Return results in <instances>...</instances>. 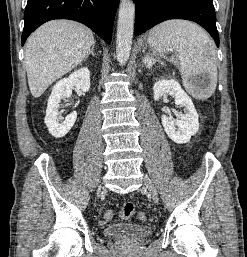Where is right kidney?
<instances>
[{
    "label": "right kidney",
    "mask_w": 247,
    "mask_h": 257,
    "mask_svg": "<svg viewBox=\"0 0 247 257\" xmlns=\"http://www.w3.org/2000/svg\"><path fill=\"white\" fill-rule=\"evenodd\" d=\"M81 89L83 92H87L90 89V71L88 68L83 67L67 78H63L58 81L48 99V105L46 109L45 124L52 136L55 138L64 137L70 129L73 127L77 113L72 112L69 114L62 123H59V103L62 98H68L72 95L73 87Z\"/></svg>",
    "instance_id": "1"
}]
</instances>
